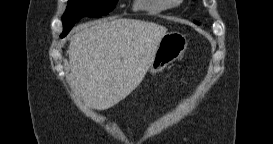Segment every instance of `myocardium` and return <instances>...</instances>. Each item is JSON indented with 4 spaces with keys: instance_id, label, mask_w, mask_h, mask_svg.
Wrapping results in <instances>:
<instances>
[{
    "instance_id": "1",
    "label": "myocardium",
    "mask_w": 273,
    "mask_h": 144,
    "mask_svg": "<svg viewBox=\"0 0 273 144\" xmlns=\"http://www.w3.org/2000/svg\"><path fill=\"white\" fill-rule=\"evenodd\" d=\"M167 1L169 2V1H174V0H167Z\"/></svg>"
}]
</instances>
